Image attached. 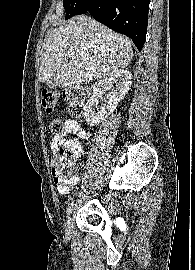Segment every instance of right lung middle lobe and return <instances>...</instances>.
I'll return each mask as SVG.
<instances>
[{"instance_id":"right-lung-middle-lobe-1","label":"right lung middle lobe","mask_w":195,"mask_h":270,"mask_svg":"<svg viewBox=\"0 0 195 270\" xmlns=\"http://www.w3.org/2000/svg\"><path fill=\"white\" fill-rule=\"evenodd\" d=\"M83 0H63L64 9L66 12L65 19H69L72 16L83 14L86 12V7H82L81 2Z\"/></svg>"}]
</instances>
